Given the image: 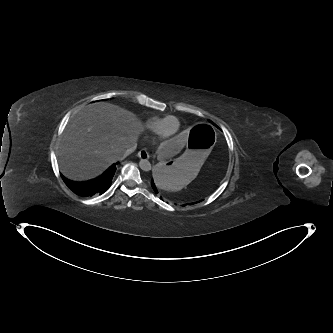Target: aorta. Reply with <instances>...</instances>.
I'll list each match as a JSON object with an SVG mask.
<instances>
[{
    "label": "aorta",
    "mask_w": 333,
    "mask_h": 333,
    "mask_svg": "<svg viewBox=\"0 0 333 333\" xmlns=\"http://www.w3.org/2000/svg\"><path fill=\"white\" fill-rule=\"evenodd\" d=\"M139 167L143 170V171H150L152 166L151 163L146 160V159H142L139 162Z\"/></svg>",
    "instance_id": "1"
}]
</instances>
